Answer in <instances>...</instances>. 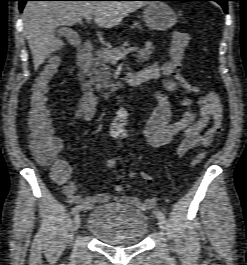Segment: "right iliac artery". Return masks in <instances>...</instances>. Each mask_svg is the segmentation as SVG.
<instances>
[{"instance_id":"82829eb1","label":"right iliac artery","mask_w":247,"mask_h":265,"mask_svg":"<svg viewBox=\"0 0 247 265\" xmlns=\"http://www.w3.org/2000/svg\"><path fill=\"white\" fill-rule=\"evenodd\" d=\"M92 207H93V205L90 204V203H84V204H81V205H77L74 208H72L71 214L74 215V214H77L80 211L89 210Z\"/></svg>"}]
</instances>
